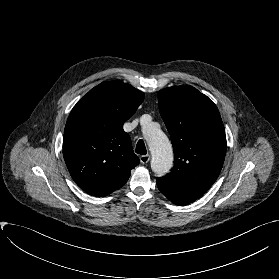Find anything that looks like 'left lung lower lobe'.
<instances>
[{"label":"left lung lower lobe","instance_id":"obj_1","mask_svg":"<svg viewBox=\"0 0 279 279\" xmlns=\"http://www.w3.org/2000/svg\"><path fill=\"white\" fill-rule=\"evenodd\" d=\"M158 189L174 204L186 205L197 199V197L180 193L163 183L157 182Z\"/></svg>","mask_w":279,"mask_h":279}]
</instances>
